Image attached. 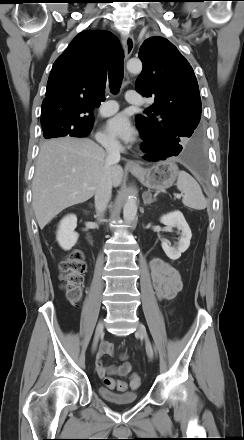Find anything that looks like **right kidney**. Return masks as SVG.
Returning a JSON list of instances; mask_svg holds the SVG:
<instances>
[{
	"label": "right kidney",
	"mask_w": 244,
	"mask_h": 440,
	"mask_svg": "<svg viewBox=\"0 0 244 440\" xmlns=\"http://www.w3.org/2000/svg\"><path fill=\"white\" fill-rule=\"evenodd\" d=\"M76 227L77 217L73 214L60 221L56 239L62 249L70 250L77 243L79 235L75 232Z\"/></svg>",
	"instance_id": "obj_1"
}]
</instances>
